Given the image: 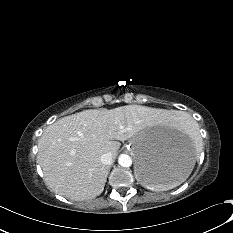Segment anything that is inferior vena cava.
Instances as JSON below:
<instances>
[{
	"label": "inferior vena cava",
	"instance_id": "1",
	"mask_svg": "<svg viewBox=\"0 0 233 233\" xmlns=\"http://www.w3.org/2000/svg\"><path fill=\"white\" fill-rule=\"evenodd\" d=\"M101 162L102 164L104 165H110L113 163V156H112V153L110 152H107V153H104L102 156H101Z\"/></svg>",
	"mask_w": 233,
	"mask_h": 233
}]
</instances>
